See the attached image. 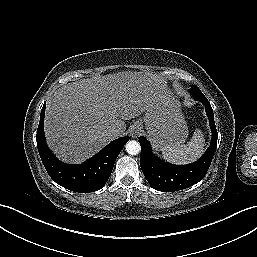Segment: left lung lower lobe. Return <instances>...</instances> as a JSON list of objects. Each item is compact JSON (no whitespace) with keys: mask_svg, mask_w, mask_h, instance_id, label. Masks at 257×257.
Segmentation results:
<instances>
[{"mask_svg":"<svg viewBox=\"0 0 257 257\" xmlns=\"http://www.w3.org/2000/svg\"><path fill=\"white\" fill-rule=\"evenodd\" d=\"M194 98L205 105L212 132L211 144L200 159L188 165L170 164L153 155L149 141L144 137H139L141 169L147 181L155 190L164 192L183 190L201 181L209 169L218 138L213 109L204 95Z\"/></svg>","mask_w":257,"mask_h":257,"instance_id":"left-lung-lower-lobe-1","label":"left lung lower lobe"}]
</instances>
